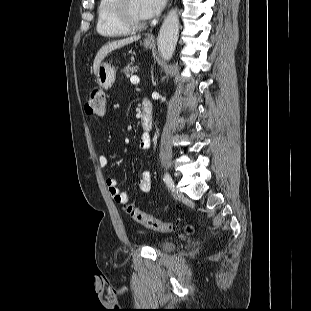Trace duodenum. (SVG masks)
Listing matches in <instances>:
<instances>
[{
    "mask_svg": "<svg viewBox=\"0 0 311 311\" xmlns=\"http://www.w3.org/2000/svg\"><path fill=\"white\" fill-rule=\"evenodd\" d=\"M141 125L145 133H149L153 126L151 106L147 100L143 101V114L141 116Z\"/></svg>",
    "mask_w": 311,
    "mask_h": 311,
    "instance_id": "duodenum-1",
    "label": "duodenum"
}]
</instances>
